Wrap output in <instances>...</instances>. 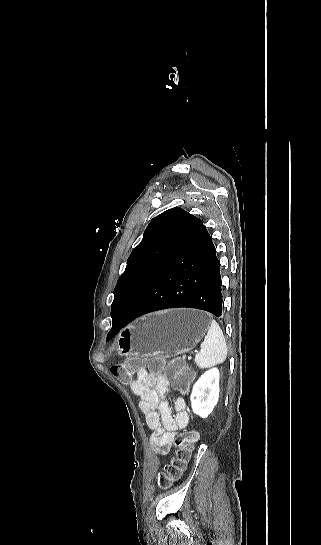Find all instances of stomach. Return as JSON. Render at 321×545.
Here are the masks:
<instances>
[{"instance_id": "1", "label": "stomach", "mask_w": 321, "mask_h": 545, "mask_svg": "<svg viewBox=\"0 0 321 545\" xmlns=\"http://www.w3.org/2000/svg\"><path fill=\"white\" fill-rule=\"evenodd\" d=\"M208 327L207 313L197 309H168L151 313L120 331L117 355H161L164 359L177 357L192 351Z\"/></svg>"}]
</instances>
